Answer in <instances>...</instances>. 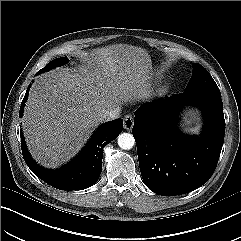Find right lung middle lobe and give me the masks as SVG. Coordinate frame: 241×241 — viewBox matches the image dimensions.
<instances>
[{
	"instance_id": "right-lung-middle-lobe-1",
	"label": "right lung middle lobe",
	"mask_w": 241,
	"mask_h": 241,
	"mask_svg": "<svg viewBox=\"0 0 241 241\" xmlns=\"http://www.w3.org/2000/svg\"><path fill=\"white\" fill-rule=\"evenodd\" d=\"M69 61V59L67 57H61V58H57L54 59L53 61H51L50 63H48L44 68H42L41 70H39V72H45L48 71L54 67L57 66H61L63 64H66Z\"/></svg>"
}]
</instances>
